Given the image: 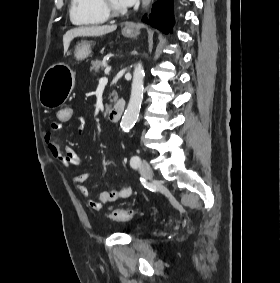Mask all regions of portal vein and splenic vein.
Returning a JSON list of instances; mask_svg holds the SVG:
<instances>
[{
    "mask_svg": "<svg viewBox=\"0 0 280 283\" xmlns=\"http://www.w3.org/2000/svg\"><path fill=\"white\" fill-rule=\"evenodd\" d=\"M110 70H111V67H107V68L105 69V74L108 75L109 72H110ZM99 82H100V83H107V82H108V78H107V77H102Z\"/></svg>",
    "mask_w": 280,
    "mask_h": 283,
    "instance_id": "18ae733b",
    "label": "portal vein and splenic vein"
}]
</instances>
